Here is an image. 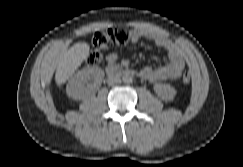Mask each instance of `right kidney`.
<instances>
[{
	"mask_svg": "<svg viewBox=\"0 0 243 167\" xmlns=\"http://www.w3.org/2000/svg\"><path fill=\"white\" fill-rule=\"evenodd\" d=\"M104 72L101 69L85 68L68 82L66 93L74 100H81L94 94L101 86Z\"/></svg>",
	"mask_w": 243,
	"mask_h": 167,
	"instance_id": "ca27d5eb",
	"label": "right kidney"
}]
</instances>
